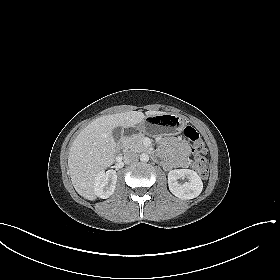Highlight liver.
I'll return each mask as SVG.
<instances>
[{
  "label": "liver",
  "mask_w": 280,
  "mask_h": 280,
  "mask_svg": "<svg viewBox=\"0 0 280 280\" xmlns=\"http://www.w3.org/2000/svg\"><path fill=\"white\" fill-rule=\"evenodd\" d=\"M166 114L161 111H129L105 115L89 123L75 138L68 155L72 184L77 193L95 200L94 179L115 161L116 142L112 131L116 127L130 128L146 117Z\"/></svg>",
  "instance_id": "obj_1"
}]
</instances>
